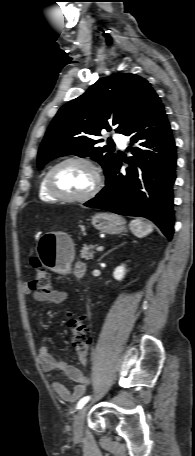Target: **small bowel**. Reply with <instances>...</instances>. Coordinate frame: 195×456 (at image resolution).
Here are the masks:
<instances>
[{"instance_id":"1","label":"small bowel","mask_w":195,"mask_h":456,"mask_svg":"<svg viewBox=\"0 0 195 456\" xmlns=\"http://www.w3.org/2000/svg\"><path fill=\"white\" fill-rule=\"evenodd\" d=\"M23 292L27 295L31 294L34 300L38 302L61 304L67 299V293L64 291L52 290L45 293L33 290L28 285L23 286ZM39 359L44 372L51 378L52 388L59 398L64 401L72 402L85 393L86 388L90 383V379L77 367L54 357L46 346L40 347ZM56 370L62 371L70 380L76 383L72 391H70L61 380L54 377V372Z\"/></svg>"}]
</instances>
